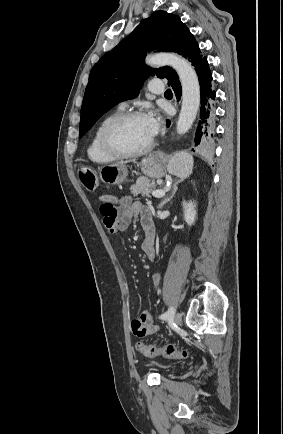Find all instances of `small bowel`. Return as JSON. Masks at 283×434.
Segmentation results:
<instances>
[{"label": "small bowel", "instance_id": "1", "mask_svg": "<svg viewBox=\"0 0 283 434\" xmlns=\"http://www.w3.org/2000/svg\"><path fill=\"white\" fill-rule=\"evenodd\" d=\"M99 209L103 216V223L106 229L111 233H119L124 231L134 217H138L142 226H153L152 218L149 210L140 202H134L129 197H124L118 200L112 196H101L99 198ZM142 250L146 257L155 261L156 252L153 242L149 243L146 240L142 243ZM161 281V275L155 273L153 276L154 288L157 290ZM158 330V326L154 322L153 314L145 310L138 318L131 322V332L136 337H142L152 334Z\"/></svg>", "mask_w": 283, "mask_h": 434}]
</instances>
